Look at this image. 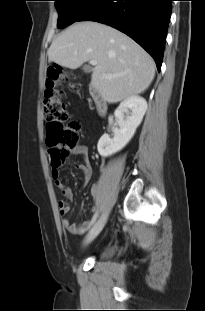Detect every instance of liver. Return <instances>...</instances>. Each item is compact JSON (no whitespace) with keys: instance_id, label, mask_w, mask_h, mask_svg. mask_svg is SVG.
<instances>
[{"instance_id":"1","label":"liver","mask_w":205,"mask_h":311,"mask_svg":"<svg viewBox=\"0 0 205 311\" xmlns=\"http://www.w3.org/2000/svg\"><path fill=\"white\" fill-rule=\"evenodd\" d=\"M47 54L50 62L70 69L96 60L91 84L108 103L144 92L155 76L154 60L140 45L117 29L94 21L68 27Z\"/></svg>"}]
</instances>
